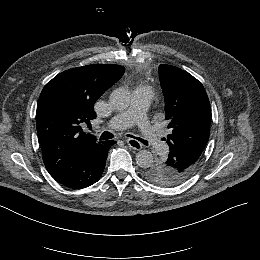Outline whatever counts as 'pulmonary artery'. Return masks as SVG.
I'll list each match as a JSON object with an SVG mask.
<instances>
[{"instance_id":"pulmonary-artery-1","label":"pulmonary artery","mask_w":260,"mask_h":260,"mask_svg":"<svg viewBox=\"0 0 260 260\" xmlns=\"http://www.w3.org/2000/svg\"><path fill=\"white\" fill-rule=\"evenodd\" d=\"M150 102L151 95L148 91L139 90L134 92L127 105L122 107L109 120V127L112 130H120L131 123H137L139 132L148 148L154 154L164 155L167 152V145L158 139V134L150 123L149 112L144 109Z\"/></svg>"}]
</instances>
